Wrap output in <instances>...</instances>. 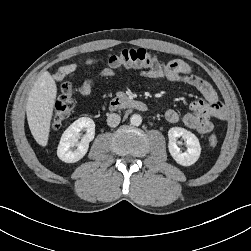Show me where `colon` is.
<instances>
[{
  "mask_svg": "<svg viewBox=\"0 0 251 251\" xmlns=\"http://www.w3.org/2000/svg\"><path fill=\"white\" fill-rule=\"evenodd\" d=\"M108 66L113 69L124 67H141L150 70H162L164 63L155 53L143 48L125 49L112 55L108 60ZM76 101V91L69 82L61 86V94L54 104L51 126L54 129L61 127L73 112ZM217 137L212 135L208 140L210 148L216 147Z\"/></svg>",
  "mask_w": 251,
  "mask_h": 251,
  "instance_id": "colon-1",
  "label": "colon"
}]
</instances>
